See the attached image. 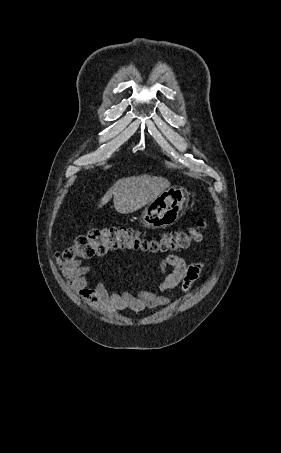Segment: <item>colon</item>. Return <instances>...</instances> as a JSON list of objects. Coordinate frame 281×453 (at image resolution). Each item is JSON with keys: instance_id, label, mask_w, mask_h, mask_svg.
<instances>
[{"instance_id": "1", "label": "colon", "mask_w": 281, "mask_h": 453, "mask_svg": "<svg viewBox=\"0 0 281 453\" xmlns=\"http://www.w3.org/2000/svg\"><path fill=\"white\" fill-rule=\"evenodd\" d=\"M207 224L200 220L186 230H161L152 232V241L146 237L151 232L138 226H95L79 234L63 258L67 262H84L103 257L124 248H149L151 255L163 252H186L197 243L206 231Z\"/></svg>"}]
</instances>
